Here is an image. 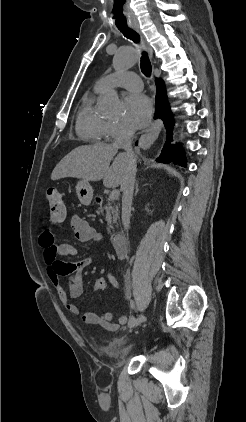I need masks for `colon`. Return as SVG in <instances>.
Instances as JSON below:
<instances>
[{"label": "colon", "mask_w": 246, "mask_h": 422, "mask_svg": "<svg viewBox=\"0 0 246 422\" xmlns=\"http://www.w3.org/2000/svg\"><path fill=\"white\" fill-rule=\"evenodd\" d=\"M47 202L50 212V223L60 224L65 218V206L63 202V194L55 188L47 191Z\"/></svg>", "instance_id": "colon-1"}]
</instances>
